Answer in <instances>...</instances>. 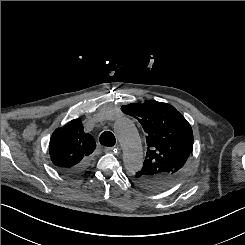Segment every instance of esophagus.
<instances>
[{
	"label": "esophagus",
	"instance_id": "obj_1",
	"mask_svg": "<svg viewBox=\"0 0 245 245\" xmlns=\"http://www.w3.org/2000/svg\"><path fill=\"white\" fill-rule=\"evenodd\" d=\"M114 150H115V148H113V147H105L104 148L105 153H112Z\"/></svg>",
	"mask_w": 245,
	"mask_h": 245
}]
</instances>
